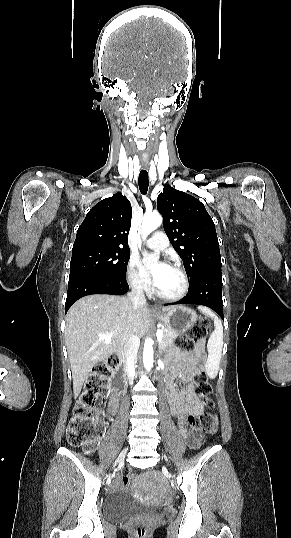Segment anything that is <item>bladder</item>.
Returning <instances> with one entry per match:
<instances>
[{"instance_id":"1","label":"bladder","mask_w":291,"mask_h":538,"mask_svg":"<svg viewBox=\"0 0 291 538\" xmlns=\"http://www.w3.org/2000/svg\"><path fill=\"white\" fill-rule=\"evenodd\" d=\"M154 511H156L154 507L137 503L124 491L110 495L104 504L105 516L111 522L123 520L134 514Z\"/></svg>"}]
</instances>
